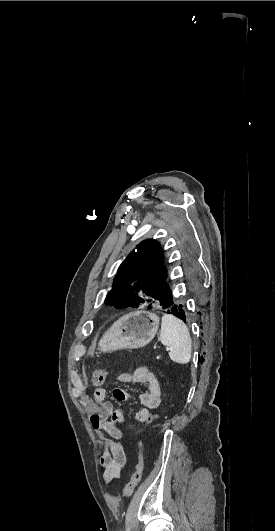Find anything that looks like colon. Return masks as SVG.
Returning a JSON list of instances; mask_svg holds the SVG:
<instances>
[{
  "label": "colon",
  "mask_w": 275,
  "mask_h": 531,
  "mask_svg": "<svg viewBox=\"0 0 275 531\" xmlns=\"http://www.w3.org/2000/svg\"><path fill=\"white\" fill-rule=\"evenodd\" d=\"M107 379V371L104 368H97L94 371L93 375V381L92 385L95 388H101L106 383ZM161 415V412L159 410H156L155 412H152L150 414V417L147 419V422H145V432H148V430L152 429V427L156 424V421L159 419V416ZM138 452L136 456V465H135V471L132 474L130 480L125 485L123 490L120 492L119 497L124 499L129 497L136 486L139 484L142 478V473L144 469V458H143V442L142 440L138 443Z\"/></svg>",
  "instance_id": "5ec220e1"
}]
</instances>
